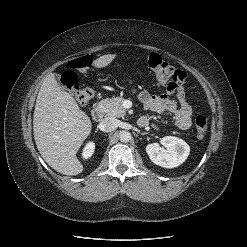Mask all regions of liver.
<instances>
[{"mask_svg":"<svg viewBox=\"0 0 247 247\" xmlns=\"http://www.w3.org/2000/svg\"><path fill=\"white\" fill-rule=\"evenodd\" d=\"M115 57L116 54L103 55L94 60L93 65L104 68ZM91 128L88 115L59 87L55 75L49 74L38 92L33 118L34 139L45 162L64 175L82 173L83 165L76 154Z\"/></svg>","mask_w":247,"mask_h":247,"instance_id":"1","label":"liver"}]
</instances>
